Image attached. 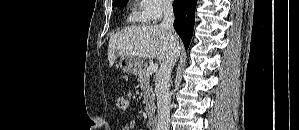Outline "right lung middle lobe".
<instances>
[{"label":"right lung middle lobe","instance_id":"obj_1","mask_svg":"<svg viewBox=\"0 0 299 130\" xmlns=\"http://www.w3.org/2000/svg\"><path fill=\"white\" fill-rule=\"evenodd\" d=\"M129 0H117L113 2L114 7H125Z\"/></svg>","mask_w":299,"mask_h":130}]
</instances>
